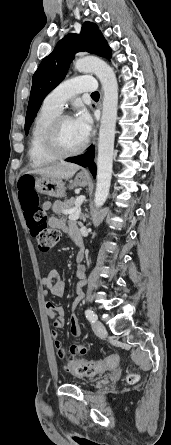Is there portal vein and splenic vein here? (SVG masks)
Wrapping results in <instances>:
<instances>
[{"label":"portal vein and splenic vein","instance_id":"1","mask_svg":"<svg viewBox=\"0 0 171 445\" xmlns=\"http://www.w3.org/2000/svg\"><path fill=\"white\" fill-rule=\"evenodd\" d=\"M83 200H84L83 197L78 198L76 200V203H75L77 208L65 211L66 214H69V219L70 220H77V219H79V216H80V213H81L80 204L82 203Z\"/></svg>","mask_w":171,"mask_h":445}]
</instances>
